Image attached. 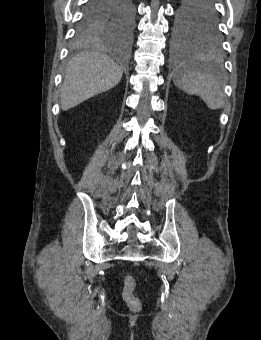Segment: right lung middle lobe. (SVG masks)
I'll list each match as a JSON object with an SVG mask.
<instances>
[{
	"mask_svg": "<svg viewBox=\"0 0 261 340\" xmlns=\"http://www.w3.org/2000/svg\"><path fill=\"white\" fill-rule=\"evenodd\" d=\"M134 26V5L125 0L124 9L115 15H97L81 20L74 38V45L80 46L98 41L128 40Z\"/></svg>",
	"mask_w": 261,
	"mask_h": 340,
	"instance_id": "1",
	"label": "right lung middle lobe"
}]
</instances>
